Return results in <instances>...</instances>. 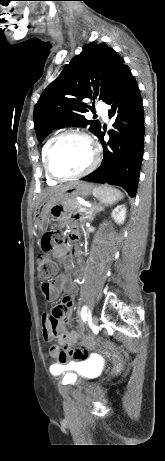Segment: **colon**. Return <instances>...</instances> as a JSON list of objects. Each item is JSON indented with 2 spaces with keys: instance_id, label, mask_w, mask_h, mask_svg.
<instances>
[{
  "instance_id": "1",
  "label": "colon",
  "mask_w": 165,
  "mask_h": 461,
  "mask_svg": "<svg viewBox=\"0 0 165 461\" xmlns=\"http://www.w3.org/2000/svg\"><path fill=\"white\" fill-rule=\"evenodd\" d=\"M61 243L62 235L57 231H47L42 235L40 241L42 254L37 258V272L40 279L46 280L55 275L56 266L46 257V254ZM53 314L59 316L58 310L54 309ZM55 345L57 348H61L62 352H67L74 360H86L90 354V349L85 346L76 348V340H56Z\"/></svg>"
}]
</instances>
